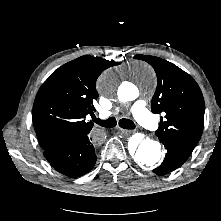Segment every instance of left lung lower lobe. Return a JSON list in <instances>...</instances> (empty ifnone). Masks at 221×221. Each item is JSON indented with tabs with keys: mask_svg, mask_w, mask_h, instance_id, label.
<instances>
[{
	"mask_svg": "<svg viewBox=\"0 0 221 221\" xmlns=\"http://www.w3.org/2000/svg\"><path fill=\"white\" fill-rule=\"evenodd\" d=\"M167 154L163 163L153 172L157 175H165L180 167L191 155L193 149L171 141H163Z\"/></svg>",
	"mask_w": 221,
	"mask_h": 221,
	"instance_id": "left-lung-lower-lobe-1",
	"label": "left lung lower lobe"
}]
</instances>
